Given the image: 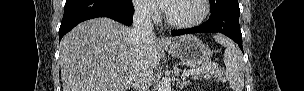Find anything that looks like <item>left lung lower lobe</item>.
Wrapping results in <instances>:
<instances>
[{"mask_svg":"<svg viewBox=\"0 0 304 91\" xmlns=\"http://www.w3.org/2000/svg\"><path fill=\"white\" fill-rule=\"evenodd\" d=\"M239 15L240 9L238 1H229L217 10L212 11L209 20L202 25L185 30H173L172 35L220 32L234 40L243 51Z\"/></svg>","mask_w":304,"mask_h":91,"instance_id":"left-lung-lower-lobe-1","label":"left lung lower lobe"}]
</instances>
